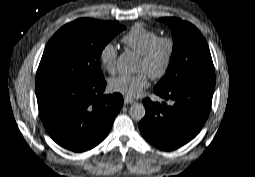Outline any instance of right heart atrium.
<instances>
[{"instance_id":"1","label":"right heart atrium","mask_w":255,"mask_h":177,"mask_svg":"<svg viewBox=\"0 0 255 177\" xmlns=\"http://www.w3.org/2000/svg\"><path fill=\"white\" fill-rule=\"evenodd\" d=\"M99 59L102 66L108 73H114L116 70L117 60L116 46L111 42L105 43L100 49Z\"/></svg>"}]
</instances>
